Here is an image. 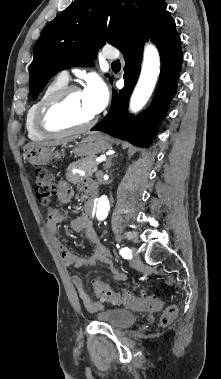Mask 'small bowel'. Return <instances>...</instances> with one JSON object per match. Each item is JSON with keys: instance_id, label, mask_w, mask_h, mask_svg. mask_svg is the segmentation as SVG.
Instances as JSON below:
<instances>
[{"instance_id": "obj_1", "label": "small bowel", "mask_w": 221, "mask_h": 379, "mask_svg": "<svg viewBox=\"0 0 221 379\" xmlns=\"http://www.w3.org/2000/svg\"><path fill=\"white\" fill-rule=\"evenodd\" d=\"M92 185L91 182L87 181L83 184V189L85 191ZM74 196V191L72 187L66 181H60L58 183V199L63 204H68L71 202ZM65 217L60 210L52 208L48 212L47 218V231L59 250L62 260L66 266H71L74 268H80L82 266H96L97 264H107L110 267L112 277L116 281L126 280V275L113 265L111 260L109 250L100 242L94 224L90 218V215L82 213L74 217L70 221V226L73 231L77 233H82L85 237L92 243L93 252L88 259L79 258L73 251L68 249L58 238V228L60 223L64 221ZM73 285L76 288L79 298L82 300L84 305L88 310H98L101 308L99 302L93 301L89 295L86 293L82 280L77 276L73 275L71 277Z\"/></svg>"}]
</instances>
